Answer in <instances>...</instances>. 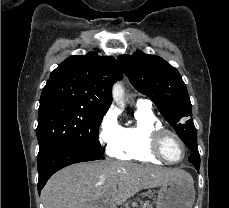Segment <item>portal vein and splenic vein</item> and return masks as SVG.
<instances>
[{
	"label": "portal vein and splenic vein",
	"mask_w": 229,
	"mask_h": 208,
	"mask_svg": "<svg viewBox=\"0 0 229 208\" xmlns=\"http://www.w3.org/2000/svg\"><path fill=\"white\" fill-rule=\"evenodd\" d=\"M110 204V208H116L115 204H113V202H109Z\"/></svg>",
	"instance_id": "1"
}]
</instances>
